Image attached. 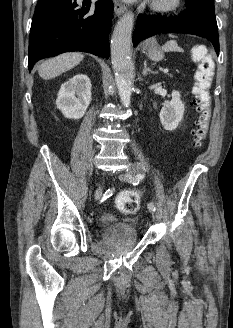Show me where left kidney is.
Listing matches in <instances>:
<instances>
[{
    "label": "left kidney",
    "instance_id": "obj_1",
    "mask_svg": "<svg viewBox=\"0 0 233 328\" xmlns=\"http://www.w3.org/2000/svg\"><path fill=\"white\" fill-rule=\"evenodd\" d=\"M185 107L178 91L172 92V100L166 103L159 114L161 124L165 130H175L184 116Z\"/></svg>",
    "mask_w": 233,
    "mask_h": 328
}]
</instances>
